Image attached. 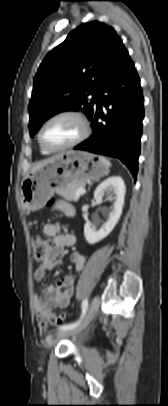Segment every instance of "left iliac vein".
<instances>
[{
	"label": "left iliac vein",
	"mask_w": 168,
	"mask_h": 406,
	"mask_svg": "<svg viewBox=\"0 0 168 406\" xmlns=\"http://www.w3.org/2000/svg\"><path fill=\"white\" fill-rule=\"evenodd\" d=\"M99 308V298L95 297L89 307L88 313L85 317V319L76 327L73 329H68V330H61L56 333L54 341L60 340L63 337L70 336V335H76L80 333L81 331L85 330L89 323L92 321L94 316L96 315L97 311Z\"/></svg>",
	"instance_id": "1"
}]
</instances>
